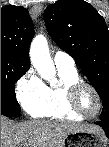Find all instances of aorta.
<instances>
[{
  "mask_svg": "<svg viewBox=\"0 0 109 147\" xmlns=\"http://www.w3.org/2000/svg\"><path fill=\"white\" fill-rule=\"evenodd\" d=\"M30 60L43 79L49 81L50 84L56 82L55 66L49 53L47 39L44 35H37L32 40L30 46Z\"/></svg>",
  "mask_w": 109,
  "mask_h": 147,
  "instance_id": "1",
  "label": "aorta"
}]
</instances>
